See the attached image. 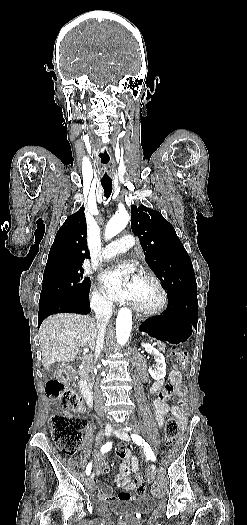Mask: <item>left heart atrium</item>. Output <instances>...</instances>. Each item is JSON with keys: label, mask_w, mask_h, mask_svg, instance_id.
<instances>
[{"label": "left heart atrium", "mask_w": 247, "mask_h": 525, "mask_svg": "<svg viewBox=\"0 0 247 525\" xmlns=\"http://www.w3.org/2000/svg\"><path fill=\"white\" fill-rule=\"evenodd\" d=\"M103 281L118 299L135 298L140 289L139 278L134 270L121 271L117 267L103 274Z\"/></svg>", "instance_id": "39dd6f15"}]
</instances>
